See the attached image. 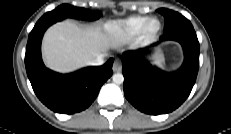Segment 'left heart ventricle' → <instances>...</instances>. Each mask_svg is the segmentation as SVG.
I'll use <instances>...</instances> for the list:
<instances>
[{"label": "left heart ventricle", "instance_id": "left-heart-ventricle-1", "mask_svg": "<svg viewBox=\"0 0 231 134\" xmlns=\"http://www.w3.org/2000/svg\"><path fill=\"white\" fill-rule=\"evenodd\" d=\"M156 27H157V23L156 22H153L152 24H151V29L152 30H154V29H156Z\"/></svg>", "mask_w": 231, "mask_h": 134}]
</instances>
